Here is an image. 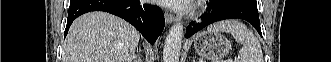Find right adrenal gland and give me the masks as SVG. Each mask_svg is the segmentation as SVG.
<instances>
[{
  "mask_svg": "<svg viewBox=\"0 0 331 62\" xmlns=\"http://www.w3.org/2000/svg\"><path fill=\"white\" fill-rule=\"evenodd\" d=\"M134 62H141V58L138 56H134Z\"/></svg>",
  "mask_w": 331,
  "mask_h": 62,
  "instance_id": "right-adrenal-gland-1",
  "label": "right adrenal gland"
}]
</instances>
